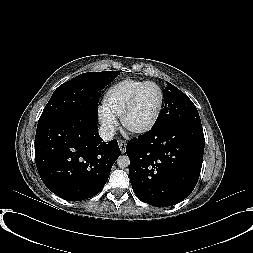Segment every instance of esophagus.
<instances>
[{"label":"esophagus","instance_id":"obj_1","mask_svg":"<svg viewBox=\"0 0 253 253\" xmlns=\"http://www.w3.org/2000/svg\"><path fill=\"white\" fill-rule=\"evenodd\" d=\"M118 144H119V148H120L121 153H125L126 145H127L126 141L118 140Z\"/></svg>","mask_w":253,"mask_h":253}]
</instances>
